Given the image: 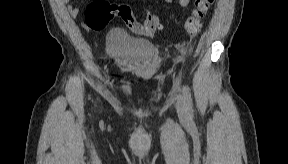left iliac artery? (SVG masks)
<instances>
[{"label": "left iliac artery", "mask_w": 288, "mask_h": 164, "mask_svg": "<svg viewBox=\"0 0 288 164\" xmlns=\"http://www.w3.org/2000/svg\"><path fill=\"white\" fill-rule=\"evenodd\" d=\"M183 97L185 101L186 108L189 110L191 117L193 116V109H192V98L190 90L187 86L183 85L182 87Z\"/></svg>", "instance_id": "44dca946"}]
</instances>
